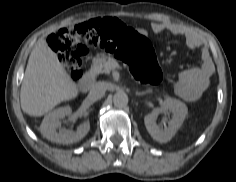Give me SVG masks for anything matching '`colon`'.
Returning <instances> with one entry per match:
<instances>
[{
  "label": "colon",
  "instance_id": "1",
  "mask_svg": "<svg viewBox=\"0 0 236 182\" xmlns=\"http://www.w3.org/2000/svg\"><path fill=\"white\" fill-rule=\"evenodd\" d=\"M63 67L73 80L82 75V61L91 47H102L123 59L138 80L156 84L162 77L150 41L115 18L89 21L62 28L48 38Z\"/></svg>",
  "mask_w": 236,
  "mask_h": 182
}]
</instances>
